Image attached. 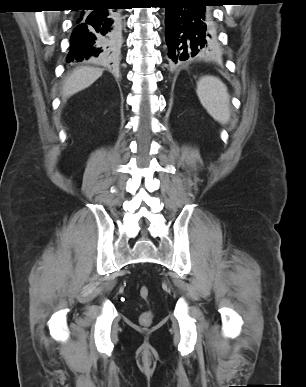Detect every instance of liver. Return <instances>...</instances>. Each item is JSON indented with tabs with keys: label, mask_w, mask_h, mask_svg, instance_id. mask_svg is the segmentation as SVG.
<instances>
[{
	"label": "liver",
	"mask_w": 306,
	"mask_h": 387,
	"mask_svg": "<svg viewBox=\"0 0 306 387\" xmlns=\"http://www.w3.org/2000/svg\"><path fill=\"white\" fill-rule=\"evenodd\" d=\"M103 70L94 67L76 68L65 80L62 94L66 99L91 86L99 77Z\"/></svg>",
	"instance_id": "1"
}]
</instances>
